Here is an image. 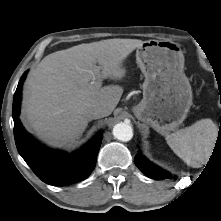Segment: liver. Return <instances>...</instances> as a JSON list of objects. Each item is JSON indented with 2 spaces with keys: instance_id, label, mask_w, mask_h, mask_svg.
<instances>
[{
  "instance_id": "obj_1",
  "label": "liver",
  "mask_w": 221,
  "mask_h": 221,
  "mask_svg": "<svg viewBox=\"0 0 221 221\" xmlns=\"http://www.w3.org/2000/svg\"><path fill=\"white\" fill-rule=\"evenodd\" d=\"M144 42L107 39L51 53L29 75L21 118L25 126L49 145L74 142L85 131L88 108H101L109 116L123 93L119 85L101 87L95 79H121L124 60ZM98 64V66L96 65Z\"/></svg>"
}]
</instances>
